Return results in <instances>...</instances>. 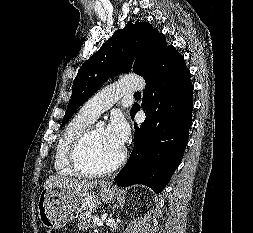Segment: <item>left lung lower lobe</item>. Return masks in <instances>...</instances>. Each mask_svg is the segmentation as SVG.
Masks as SVG:
<instances>
[{
	"label": "left lung lower lobe",
	"instance_id": "1",
	"mask_svg": "<svg viewBox=\"0 0 253 233\" xmlns=\"http://www.w3.org/2000/svg\"><path fill=\"white\" fill-rule=\"evenodd\" d=\"M146 81L141 108L146 120L135 123L134 148L114 178L122 186L144 184L160 193L179 166L192 125L193 85L184 58L170 45ZM140 110L134 104L131 117Z\"/></svg>",
	"mask_w": 253,
	"mask_h": 233
}]
</instances>
